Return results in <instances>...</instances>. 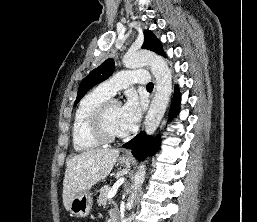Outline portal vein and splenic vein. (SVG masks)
<instances>
[{
	"label": "portal vein and splenic vein",
	"mask_w": 257,
	"mask_h": 222,
	"mask_svg": "<svg viewBox=\"0 0 257 222\" xmlns=\"http://www.w3.org/2000/svg\"><path fill=\"white\" fill-rule=\"evenodd\" d=\"M124 180H119L117 181L114 186L112 187V189L110 190V192L108 193V196H107V199H112L115 195H116V192H117V189L118 187L121 185V183L123 182Z\"/></svg>",
	"instance_id": "obj_1"
}]
</instances>
